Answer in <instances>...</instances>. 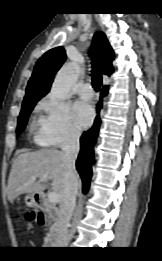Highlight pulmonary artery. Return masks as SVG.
<instances>
[{
  "label": "pulmonary artery",
  "mask_w": 162,
  "mask_h": 261,
  "mask_svg": "<svg viewBox=\"0 0 162 261\" xmlns=\"http://www.w3.org/2000/svg\"><path fill=\"white\" fill-rule=\"evenodd\" d=\"M78 94L80 97L88 99L93 97L94 91L92 89V86L90 83H84L82 84L78 89Z\"/></svg>",
  "instance_id": "pulmonary-artery-1"
}]
</instances>
